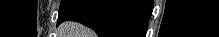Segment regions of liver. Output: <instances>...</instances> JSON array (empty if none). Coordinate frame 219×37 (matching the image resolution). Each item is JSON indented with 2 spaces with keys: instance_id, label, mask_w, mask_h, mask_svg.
I'll return each mask as SVG.
<instances>
[{
  "instance_id": "6515ba94",
  "label": "liver",
  "mask_w": 219,
  "mask_h": 37,
  "mask_svg": "<svg viewBox=\"0 0 219 37\" xmlns=\"http://www.w3.org/2000/svg\"><path fill=\"white\" fill-rule=\"evenodd\" d=\"M58 33L60 37H94L95 35L91 29L72 21L62 23Z\"/></svg>"
}]
</instances>
